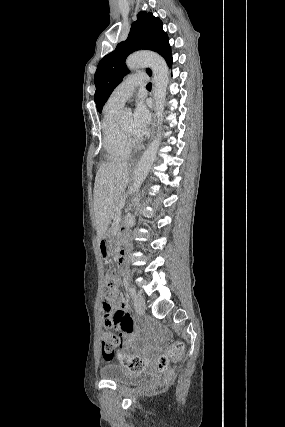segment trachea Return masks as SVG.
Returning <instances> with one entry per match:
<instances>
[{"label":"trachea","mask_w":285,"mask_h":427,"mask_svg":"<svg viewBox=\"0 0 285 427\" xmlns=\"http://www.w3.org/2000/svg\"><path fill=\"white\" fill-rule=\"evenodd\" d=\"M151 87H152V84L149 82V83L146 85V88L151 89Z\"/></svg>","instance_id":"obj_1"}]
</instances>
